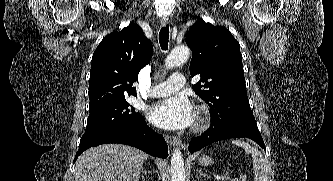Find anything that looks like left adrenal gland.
<instances>
[{
  "label": "left adrenal gland",
  "mask_w": 333,
  "mask_h": 181,
  "mask_svg": "<svg viewBox=\"0 0 333 181\" xmlns=\"http://www.w3.org/2000/svg\"><path fill=\"white\" fill-rule=\"evenodd\" d=\"M197 173H198V177L197 178H200L201 176L207 177V175L205 173H203L201 170H198Z\"/></svg>",
  "instance_id": "1"
}]
</instances>
